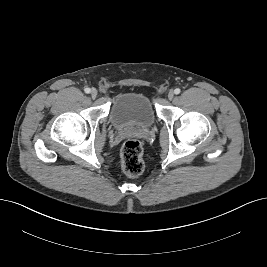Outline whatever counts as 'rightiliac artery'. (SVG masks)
<instances>
[{"instance_id": "right-iliac-artery-1", "label": "right iliac artery", "mask_w": 267, "mask_h": 267, "mask_svg": "<svg viewBox=\"0 0 267 267\" xmlns=\"http://www.w3.org/2000/svg\"><path fill=\"white\" fill-rule=\"evenodd\" d=\"M84 91H85V93H87V94L91 92L90 88H85Z\"/></svg>"}]
</instances>
